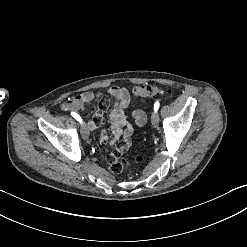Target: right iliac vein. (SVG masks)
<instances>
[{
  "mask_svg": "<svg viewBox=\"0 0 247 247\" xmlns=\"http://www.w3.org/2000/svg\"><path fill=\"white\" fill-rule=\"evenodd\" d=\"M81 135L84 139H88L89 137V127L85 123L81 129Z\"/></svg>",
  "mask_w": 247,
  "mask_h": 247,
  "instance_id": "1",
  "label": "right iliac vein"
}]
</instances>
